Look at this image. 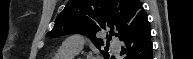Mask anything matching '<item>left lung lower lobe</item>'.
Segmentation results:
<instances>
[{
    "label": "left lung lower lobe",
    "mask_w": 193,
    "mask_h": 59,
    "mask_svg": "<svg viewBox=\"0 0 193 59\" xmlns=\"http://www.w3.org/2000/svg\"><path fill=\"white\" fill-rule=\"evenodd\" d=\"M120 40L125 44L121 49L123 59H153L151 28L145 11L134 18Z\"/></svg>",
    "instance_id": "0a47b994"
}]
</instances>
